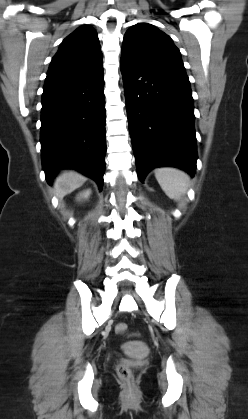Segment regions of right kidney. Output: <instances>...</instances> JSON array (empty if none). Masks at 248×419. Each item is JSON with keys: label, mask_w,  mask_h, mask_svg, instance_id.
<instances>
[{"label": "right kidney", "mask_w": 248, "mask_h": 419, "mask_svg": "<svg viewBox=\"0 0 248 419\" xmlns=\"http://www.w3.org/2000/svg\"><path fill=\"white\" fill-rule=\"evenodd\" d=\"M91 194L90 190L84 191L83 193L80 194V197H78V199L80 198H88Z\"/></svg>", "instance_id": "right-kidney-1"}]
</instances>
